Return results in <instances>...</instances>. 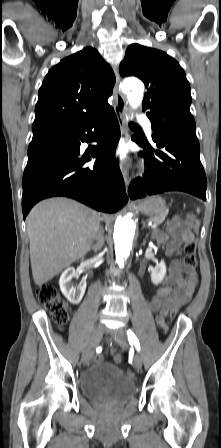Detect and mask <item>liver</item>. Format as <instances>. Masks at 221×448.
<instances>
[{"instance_id":"6515ba94","label":"liver","mask_w":221,"mask_h":448,"mask_svg":"<svg viewBox=\"0 0 221 448\" xmlns=\"http://www.w3.org/2000/svg\"><path fill=\"white\" fill-rule=\"evenodd\" d=\"M102 219L107 216L63 197L35 205L26 219L35 284L47 283L83 258L96 239Z\"/></svg>"}]
</instances>
